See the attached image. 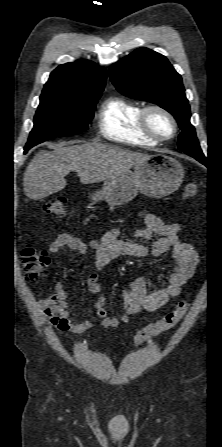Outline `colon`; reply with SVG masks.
Here are the masks:
<instances>
[{"mask_svg": "<svg viewBox=\"0 0 222 447\" xmlns=\"http://www.w3.org/2000/svg\"><path fill=\"white\" fill-rule=\"evenodd\" d=\"M198 192L197 183L191 180L186 184L183 196L186 199L194 198L198 195ZM44 211L53 217L64 218L67 215V198L64 196L54 198L45 204ZM21 262L26 280L33 283L45 276L50 259L46 251L37 250L27 245L21 251ZM188 309V302L180 301L161 320L140 330L135 337V343L140 345L153 336L171 330L184 318Z\"/></svg>", "mask_w": 222, "mask_h": 447, "instance_id": "5ec220e1", "label": "colon"}]
</instances>
